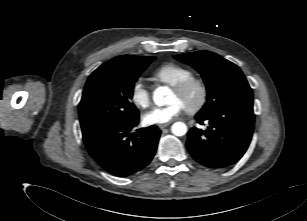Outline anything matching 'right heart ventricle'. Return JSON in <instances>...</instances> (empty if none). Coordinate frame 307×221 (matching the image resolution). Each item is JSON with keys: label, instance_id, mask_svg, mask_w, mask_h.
<instances>
[{"label": "right heart ventricle", "instance_id": "1", "mask_svg": "<svg viewBox=\"0 0 307 221\" xmlns=\"http://www.w3.org/2000/svg\"><path fill=\"white\" fill-rule=\"evenodd\" d=\"M192 75L189 68L175 63L162 64L152 73L153 79L169 86H173Z\"/></svg>", "mask_w": 307, "mask_h": 221}]
</instances>
